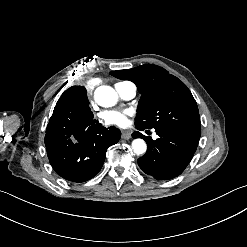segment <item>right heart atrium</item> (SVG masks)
<instances>
[{
    "label": "right heart atrium",
    "mask_w": 247,
    "mask_h": 247,
    "mask_svg": "<svg viewBox=\"0 0 247 247\" xmlns=\"http://www.w3.org/2000/svg\"><path fill=\"white\" fill-rule=\"evenodd\" d=\"M102 85V80L99 77H94L91 80V83H87L84 86V91L87 94H92L95 91V88H99Z\"/></svg>",
    "instance_id": "right-heart-atrium-1"
}]
</instances>
